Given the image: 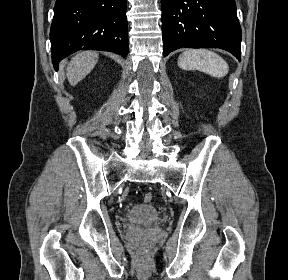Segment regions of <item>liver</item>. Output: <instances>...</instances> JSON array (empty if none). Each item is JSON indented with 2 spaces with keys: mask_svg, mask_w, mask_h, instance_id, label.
I'll list each match as a JSON object with an SVG mask.
<instances>
[{
  "mask_svg": "<svg viewBox=\"0 0 288 280\" xmlns=\"http://www.w3.org/2000/svg\"><path fill=\"white\" fill-rule=\"evenodd\" d=\"M98 54L92 51L78 53L67 68V79L72 86L84 79L95 67Z\"/></svg>",
  "mask_w": 288,
  "mask_h": 280,
  "instance_id": "1",
  "label": "liver"
}]
</instances>
